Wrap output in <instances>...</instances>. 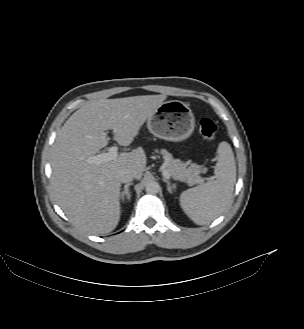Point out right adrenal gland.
I'll return each mask as SVG.
<instances>
[{"instance_id":"2a0ac1e0","label":"right adrenal gland","mask_w":304,"mask_h":329,"mask_svg":"<svg viewBox=\"0 0 304 329\" xmlns=\"http://www.w3.org/2000/svg\"><path fill=\"white\" fill-rule=\"evenodd\" d=\"M133 183H127L124 185V190L121 192L120 198L122 200V202H124L125 197L127 198V200H130V193H129V187L132 185Z\"/></svg>"}]
</instances>
